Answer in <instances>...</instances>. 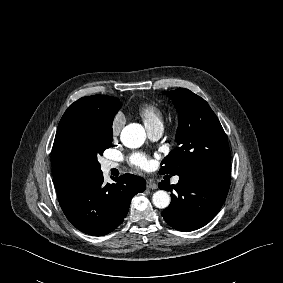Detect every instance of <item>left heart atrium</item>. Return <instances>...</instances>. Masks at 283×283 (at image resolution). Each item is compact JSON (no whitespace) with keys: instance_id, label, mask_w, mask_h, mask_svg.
I'll return each instance as SVG.
<instances>
[{"instance_id":"39dd6f15","label":"left heart atrium","mask_w":283,"mask_h":283,"mask_svg":"<svg viewBox=\"0 0 283 283\" xmlns=\"http://www.w3.org/2000/svg\"><path fill=\"white\" fill-rule=\"evenodd\" d=\"M130 162L133 166L140 169H147L151 165L149 158L142 153H135L130 157Z\"/></svg>"}]
</instances>
